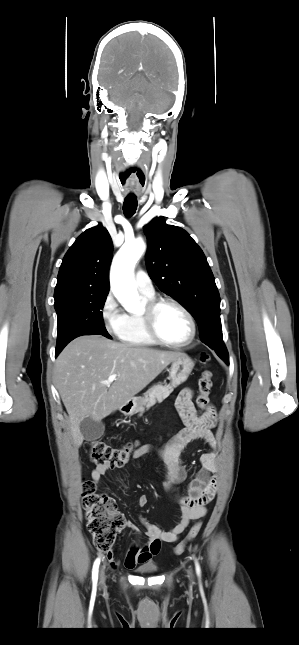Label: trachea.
<instances>
[{"label":"trachea","instance_id":"trachea-1","mask_svg":"<svg viewBox=\"0 0 299 645\" xmlns=\"http://www.w3.org/2000/svg\"><path fill=\"white\" fill-rule=\"evenodd\" d=\"M137 198L134 196H127L125 197L124 203H123V212L126 217H131L135 214L136 209H137Z\"/></svg>","mask_w":299,"mask_h":645}]
</instances>
